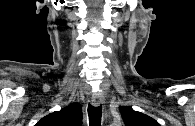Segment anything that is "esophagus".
<instances>
[{
  "label": "esophagus",
  "instance_id": "esophagus-1",
  "mask_svg": "<svg viewBox=\"0 0 195 126\" xmlns=\"http://www.w3.org/2000/svg\"><path fill=\"white\" fill-rule=\"evenodd\" d=\"M91 101L94 106H100L103 104V96L99 93L93 94Z\"/></svg>",
  "mask_w": 195,
  "mask_h": 126
}]
</instances>
